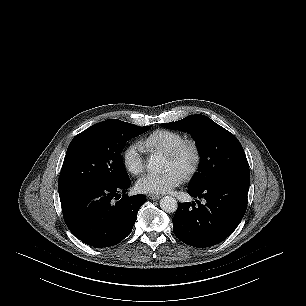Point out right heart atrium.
Returning a JSON list of instances; mask_svg holds the SVG:
<instances>
[{
    "label": "right heart atrium",
    "instance_id": "1",
    "mask_svg": "<svg viewBox=\"0 0 306 306\" xmlns=\"http://www.w3.org/2000/svg\"><path fill=\"white\" fill-rule=\"evenodd\" d=\"M125 168L132 175H139L145 169L144 149L140 143L130 144L123 153Z\"/></svg>",
    "mask_w": 306,
    "mask_h": 306
}]
</instances>
